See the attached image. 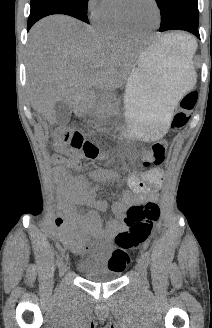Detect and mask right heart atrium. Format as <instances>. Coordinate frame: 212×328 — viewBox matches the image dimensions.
I'll return each instance as SVG.
<instances>
[{
    "instance_id": "1",
    "label": "right heart atrium",
    "mask_w": 212,
    "mask_h": 328,
    "mask_svg": "<svg viewBox=\"0 0 212 328\" xmlns=\"http://www.w3.org/2000/svg\"><path fill=\"white\" fill-rule=\"evenodd\" d=\"M111 0H87V11L92 21L97 22L108 10Z\"/></svg>"
}]
</instances>
